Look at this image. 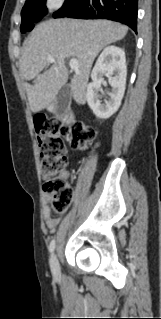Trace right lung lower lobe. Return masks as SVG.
<instances>
[{
	"instance_id": "obj_1",
	"label": "right lung lower lobe",
	"mask_w": 161,
	"mask_h": 319,
	"mask_svg": "<svg viewBox=\"0 0 161 319\" xmlns=\"http://www.w3.org/2000/svg\"><path fill=\"white\" fill-rule=\"evenodd\" d=\"M138 0H81L63 17L109 19L137 29Z\"/></svg>"
}]
</instances>
